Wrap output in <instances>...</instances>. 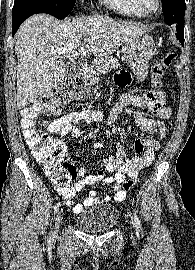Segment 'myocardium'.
<instances>
[{"instance_id":"1","label":"myocardium","mask_w":195,"mask_h":270,"mask_svg":"<svg viewBox=\"0 0 195 270\" xmlns=\"http://www.w3.org/2000/svg\"><path fill=\"white\" fill-rule=\"evenodd\" d=\"M135 1L139 10L146 16L157 13L161 7V0H153V6L150 8L145 5L144 0H135Z\"/></svg>"}]
</instances>
